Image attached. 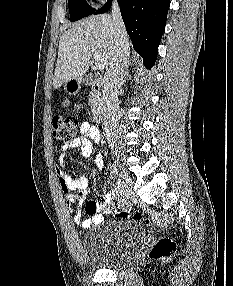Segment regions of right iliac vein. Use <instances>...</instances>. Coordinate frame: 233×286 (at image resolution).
Segmentation results:
<instances>
[{
	"label": "right iliac vein",
	"instance_id": "1",
	"mask_svg": "<svg viewBox=\"0 0 233 286\" xmlns=\"http://www.w3.org/2000/svg\"><path fill=\"white\" fill-rule=\"evenodd\" d=\"M114 173L118 178L120 202H122V205L124 206L133 197V192L130 187V179L126 173L119 172L116 166H114Z\"/></svg>",
	"mask_w": 233,
	"mask_h": 286
}]
</instances>
